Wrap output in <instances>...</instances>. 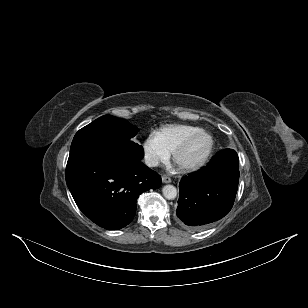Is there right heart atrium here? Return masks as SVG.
Masks as SVG:
<instances>
[{
	"label": "right heart atrium",
	"instance_id": "d8ad5b80",
	"mask_svg": "<svg viewBox=\"0 0 308 308\" xmlns=\"http://www.w3.org/2000/svg\"><path fill=\"white\" fill-rule=\"evenodd\" d=\"M142 153L145 163L149 167H157L166 163L170 153L158 142L154 135H149L142 143Z\"/></svg>",
	"mask_w": 308,
	"mask_h": 308
}]
</instances>
